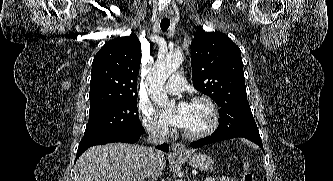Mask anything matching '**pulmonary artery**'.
<instances>
[{
  "label": "pulmonary artery",
  "mask_w": 333,
  "mask_h": 181,
  "mask_svg": "<svg viewBox=\"0 0 333 181\" xmlns=\"http://www.w3.org/2000/svg\"><path fill=\"white\" fill-rule=\"evenodd\" d=\"M185 87V81L181 75H172L165 86V91L168 94L174 95L179 94Z\"/></svg>",
  "instance_id": "e3ab8cb5"
}]
</instances>
